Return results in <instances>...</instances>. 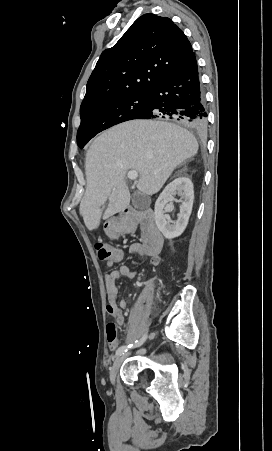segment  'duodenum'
I'll use <instances>...</instances> for the list:
<instances>
[{"instance_id":"obj_1","label":"duodenum","mask_w":272,"mask_h":451,"mask_svg":"<svg viewBox=\"0 0 272 451\" xmlns=\"http://www.w3.org/2000/svg\"><path fill=\"white\" fill-rule=\"evenodd\" d=\"M138 226L142 230L143 243L141 244V252L137 253L158 254L163 247V237L156 226L151 210H147L142 214L132 211L127 212L119 219L111 220L107 225V229L112 237L118 238L135 231Z\"/></svg>"}]
</instances>
